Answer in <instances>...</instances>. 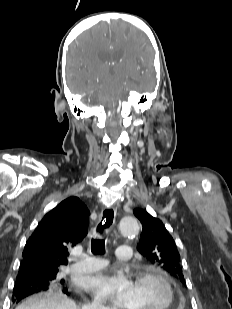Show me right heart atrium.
<instances>
[{"instance_id":"obj_1","label":"right heart atrium","mask_w":232,"mask_h":309,"mask_svg":"<svg viewBox=\"0 0 232 309\" xmlns=\"http://www.w3.org/2000/svg\"><path fill=\"white\" fill-rule=\"evenodd\" d=\"M90 309H110V308L104 306L101 302L95 299L90 303Z\"/></svg>"}]
</instances>
